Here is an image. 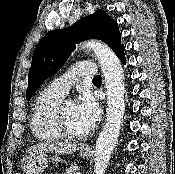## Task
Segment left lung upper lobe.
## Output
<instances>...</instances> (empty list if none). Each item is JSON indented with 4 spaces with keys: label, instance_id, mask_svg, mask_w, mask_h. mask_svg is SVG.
Instances as JSON below:
<instances>
[{
    "label": "left lung upper lobe",
    "instance_id": "left-lung-upper-lobe-1",
    "mask_svg": "<svg viewBox=\"0 0 175 174\" xmlns=\"http://www.w3.org/2000/svg\"><path fill=\"white\" fill-rule=\"evenodd\" d=\"M88 39L102 40L116 54L124 47L116 21L103 10H96L94 14L82 18L72 27L48 33L34 51L26 98L29 99L33 95L45 78L62 67L75 49V44Z\"/></svg>",
    "mask_w": 175,
    "mask_h": 174
}]
</instances>
